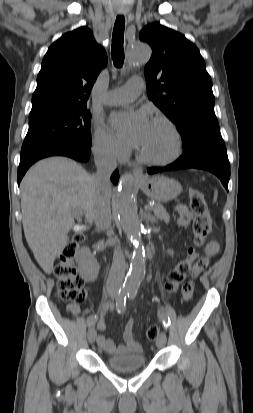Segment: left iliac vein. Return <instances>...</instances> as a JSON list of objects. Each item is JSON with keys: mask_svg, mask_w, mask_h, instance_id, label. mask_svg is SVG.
I'll list each match as a JSON object with an SVG mask.
<instances>
[{"mask_svg": "<svg viewBox=\"0 0 253 413\" xmlns=\"http://www.w3.org/2000/svg\"><path fill=\"white\" fill-rule=\"evenodd\" d=\"M166 344V334L164 332H161L160 335L157 337L156 340V346L158 348L164 347Z\"/></svg>", "mask_w": 253, "mask_h": 413, "instance_id": "left-iliac-vein-1", "label": "left iliac vein"}]
</instances>
